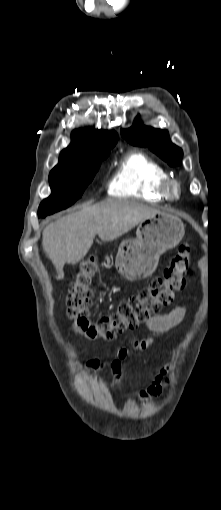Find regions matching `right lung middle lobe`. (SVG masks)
Masks as SVG:
<instances>
[{"label": "right lung middle lobe", "instance_id": "dd1d6c3e", "mask_svg": "<svg viewBox=\"0 0 221 510\" xmlns=\"http://www.w3.org/2000/svg\"><path fill=\"white\" fill-rule=\"evenodd\" d=\"M110 151L86 157L74 162L58 163L49 174L51 195L44 199L38 209V216L58 212L78 200L94 178L103 159Z\"/></svg>", "mask_w": 221, "mask_h": 510}]
</instances>
